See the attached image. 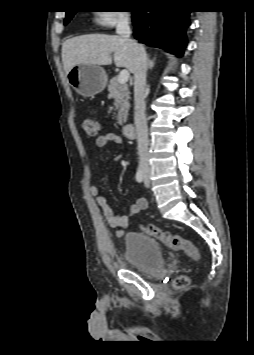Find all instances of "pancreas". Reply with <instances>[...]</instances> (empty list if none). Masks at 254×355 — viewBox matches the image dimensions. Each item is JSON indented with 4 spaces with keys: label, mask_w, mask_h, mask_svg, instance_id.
<instances>
[{
    "label": "pancreas",
    "mask_w": 254,
    "mask_h": 355,
    "mask_svg": "<svg viewBox=\"0 0 254 355\" xmlns=\"http://www.w3.org/2000/svg\"><path fill=\"white\" fill-rule=\"evenodd\" d=\"M109 98L115 101V107L118 109L117 123L123 125L127 121L128 111L130 108L129 98L130 92L127 84H120L118 77L110 80L108 85Z\"/></svg>",
    "instance_id": "1"
}]
</instances>
